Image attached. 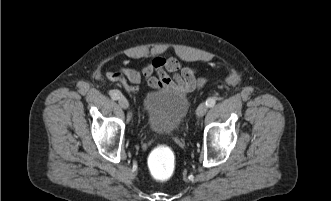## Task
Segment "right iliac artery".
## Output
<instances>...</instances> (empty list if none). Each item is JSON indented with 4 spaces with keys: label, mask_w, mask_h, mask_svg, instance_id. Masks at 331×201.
<instances>
[{
    "label": "right iliac artery",
    "mask_w": 331,
    "mask_h": 201,
    "mask_svg": "<svg viewBox=\"0 0 331 201\" xmlns=\"http://www.w3.org/2000/svg\"><path fill=\"white\" fill-rule=\"evenodd\" d=\"M121 93L119 91H112L110 96L113 100H118L120 98Z\"/></svg>",
    "instance_id": "obj_1"
}]
</instances>
